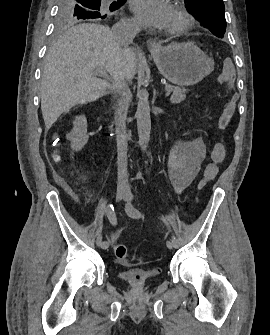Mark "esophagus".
Listing matches in <instances>:
<instances>
[{
    "label": "esophagus",
    "instance_id": "34e87169",
    "mask_svg": "<svg viewBox=\"0 0 270 335\" xmlns=\"http://www.w3.org/2000/svg\"><path fill=\"white\" fill-rule=\"evenodd\" d=\"M147 43L152 50H157L159 48V44L153 39L148 40Z\"/></svg>",
    "mask_w": 270,
    "mask_h": 335
}]
</instances>
